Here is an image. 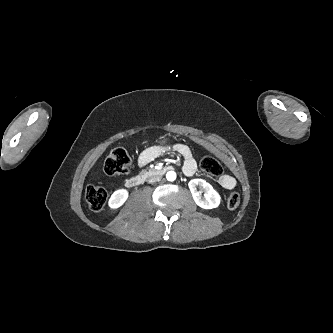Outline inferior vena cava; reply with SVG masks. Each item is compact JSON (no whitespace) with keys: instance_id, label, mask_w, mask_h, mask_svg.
Masks as SVG:
<instances>
[{"instance_id":"1","label":"inferior vena cava","mask_w":333,"mask_h":333,"mask_svg":"<svg viewBox=\"0 0 333 333\" xmlns=\"http://www.w3.org/2000/svg\"><path fill=\"white\" fill-rule=\"evenodd\" d=\"M160 180H161V176H153L148 180V182L149 183H154V182H158Z\"/></svg>"}]
</instances>
